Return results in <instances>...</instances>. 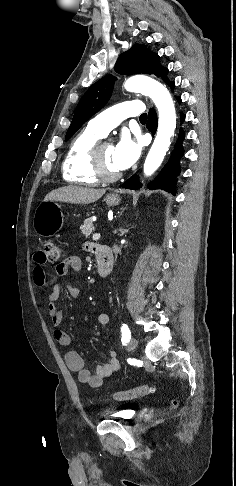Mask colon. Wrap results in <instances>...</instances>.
Instances as JSON below:
<instances>
[{"mask_svg": "<svg viewBox=\"0 0 236 486\" xmlns=\"http://www.w3.org/2000/svg\"><path fill=\"white\" fill-rule=\"evenodd\" d=\"M43 260L47 263H53L58 261L62 256V248L58 244L52 241H47L44 244L43 251L41 252ZM153 391V387L144 384L139 385L137 387L131 388L126 391H116L111 394V397L117 401H128L134 400L141 397H145L151 394ZM177 405V401H173L171 407H175Z\"/></svg>", "mask_w": 236, "mask_h": 486, "instance_id": "colon-1", "label": "colon"}]
</instances>
